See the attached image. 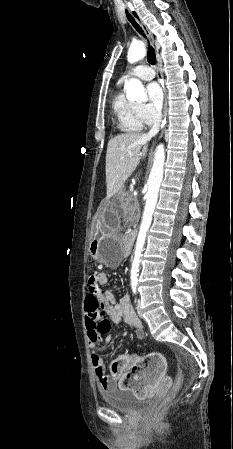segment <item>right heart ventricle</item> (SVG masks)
Masks as SVG:
<instances>
[{"label": "right heart ventricle", "instance_id": "right-heart-ventricle-1", "mask_svg": "<svg viewBox=\"0 0 233 449\" xmlns=\"http://www.w3.org/2000/svg\"><path fill=\"white\" fill-rule=\"evenodd\" d=\"M112 111L120 131L136 133L143 129L145 123L139 115L138 105L128 100L121 90L116 93L112 101Z\"/></svg>", "mask_w": 233, "mask_h": 449}]
</instances>
